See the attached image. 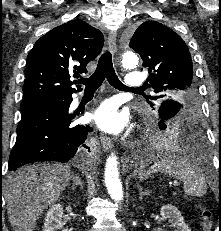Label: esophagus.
<instances>
[{"instance_id": "1", "label": "esophagus", "mask_w": 221, "mask_h": 231, "mask_svg": "<svg viewBox=\"0 0 221 231\" xmlns=\"http://www.w3.org/2000/svg\"><path fill=\"white\" fill-rule=\"evenodd\" d=\"M116 37H117V35H116L115 31H110L109 32L107 43H108L109 50L113 54H115L117 52V44H116L117 38ZM100 140H101V144H102L103 148L106 151H109V150L112 149V147H113V141H112V139L110 137L102 135L100 137Z\"/></svg>"}]
</instances>
